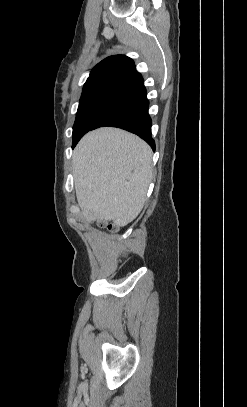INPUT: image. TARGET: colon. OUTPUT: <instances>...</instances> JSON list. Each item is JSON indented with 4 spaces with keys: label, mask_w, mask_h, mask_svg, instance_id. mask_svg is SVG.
<instances>
[{
    "label": "colon",
    "mask_w": 247,
    "mask_h": 407,
    "mask_svg": "<svg viewBox=\"0 0 247 407\" xmlns=\"http://www.w3.org/2000/svg\"><path fill=\"white\" fill-rule=\"evenodd\" d=\"M105 226H106L107 229H108L109 231H111V232H115V231L118 230V227H117L115 224H113V223H108V224H106Z\"/></svg>",
    "instance_id": "obj_1"
}]
</instances>
